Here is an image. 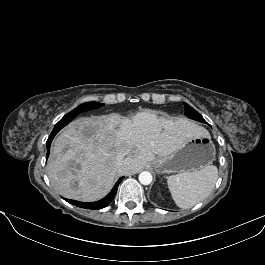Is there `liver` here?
<instances>
[{
    "instance_id": "obj_1",
    "label": "liver",
    "mask_w": 265,
    "mask_h": 265,
    "mask_svg": "<svg viewBox=\"0 0 265 265\" xmlns=\"http://www.w3.org/2000/svg\"><path fill=\"white\" fill-rule=\"evenodd\" d=\"M205 133L192 121L166 119L150 110L132 119L116 113L79 118L53 141L48 177L65 198L97 201L112 189L117 174H135L156 155H170L184 138ZM120 154L124 158L118 167Z\"/></svg>"
}]
</instances>
